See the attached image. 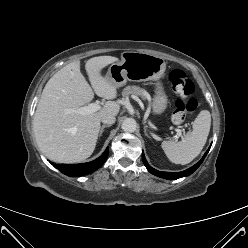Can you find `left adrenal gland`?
Masks as SVG:
<instances>
[{
    "mask_svg": "<svg viewBox=\"0 0 248 248\" xmlns=\"http://www.w3.org/2000/svg\"><path fill=\"white\" fill-rule=\"evenodd\" d=\"M144 130H145V134H146V136H147V137H149V135H148V133H147V129H146V127H144Z\"/></svg>",
    "mask_w": 248,
    "mask_h": 248,
    "instance_id": "1",
    "label": "left adrenal gland"
}]
</instances>
